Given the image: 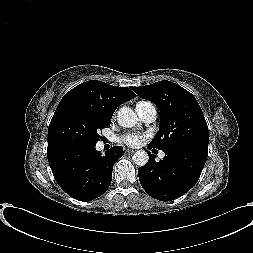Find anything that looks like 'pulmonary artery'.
Here are the masks:
<instances>
[{
	"label": "pulmonary artery",
	"mask_w": 253,
	"mask_h": 253,
	"mask_svg": "<svg viewBox=\"0 0 253 253\" xmlns=\"http://www.w3.org/2000/svg\"><path fill=\"white\" fill-rule=\"evenodd\" d=\"M135 109L141 120L146 123H152L157 118V108L151 102L147 101L138 102L136 104ZM160 157H164V153H161Z\"/></svg>",
	"instance_id": "e3ab8cb5"
}]
</instances>
